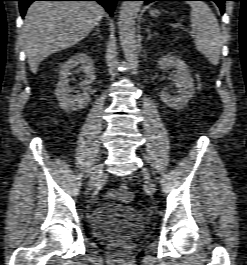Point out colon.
Segmentation results:
<instances>
[{
  "label": "colon",
  "mask_w": 247,
  "mask_h": 265,
  "mask_svg": "<svg viewBox=\"0 0 247 265\" xmlns=\"http://www.w3.org/2000/svg\"><path fill=\"white\" fill-rule=\"evenodd\" d=\"M118 192L121 193V194H126L128 193V187L126 184H121L118 188Z\"/></svg>",
  "instance_id": "colon-1"
}]
</instances>
